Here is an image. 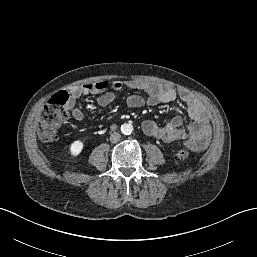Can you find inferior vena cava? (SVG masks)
Listing matches in <instances>:
<instances>
[{"label": "inferior vena cava", "instance_id": "602c4592", "mask_svg": "<svg viewBox=\"0 0 257 257\" xmlns=\"http://www.w3.org/2000/svg\"><path fill=\"white\" fill-rule=\"evenodd\" d=\"M121 139V135L118 132H113L110 135V141L112 143H117Z\"/></svg>", "mask_w": 257, "mask_h": 257}]
</instances>
